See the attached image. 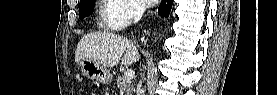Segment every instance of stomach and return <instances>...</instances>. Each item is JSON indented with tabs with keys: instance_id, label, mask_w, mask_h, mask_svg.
Masks as SVG:
<instances>
[{
	"instance_id": "0dacf381",
	"label": "stomach",
	"mask_w": 277,
	"mask_h": 95,
	"mask_svg": "<svg viewBox=\"0 0 277 95\" xmlns=\"http://www.w3.org/2000/svg\"><path fill=\"white\" fill-rule=\"evenodd\" d=\"M81 72L88 78L100 82L102 84H109L112 81L110 71L91 59H81L78 63Z\"/></svg>"
}]
</instances>
